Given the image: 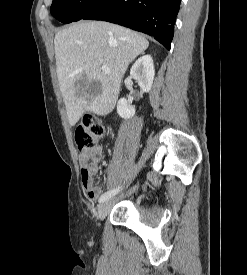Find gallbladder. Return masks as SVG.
Wrapping results in <instances>:
<instances>
[{
  "label": "gallbladder",
  "instance_id": "bac80fb5",
  "mask_svg": "<svg viewBox=\"0 0 247 275\" xmlns=\"http://www.w3.org/2000/svg\"><path fill=\"white\" fill-rule=\"evenodd\" d=\"M79 88L82 90L83 88H86L87 86H88V91L90 92V93H92L93 92V90H92V87H93V83H90V84H88L87 85V83H85L84 81H79Z\"/></svg>",
  "mask_w": 247,
  "mask_h": 275
}]
</instances>
